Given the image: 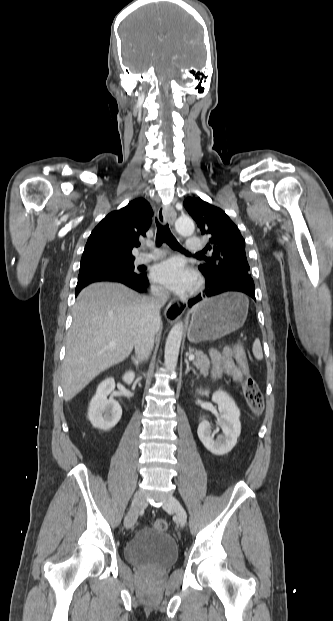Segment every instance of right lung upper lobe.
Segmentation results:
<instances>
[{"instance_id": "obj_1", "label": "right lung upper lobe", "mask_w": 333, "mask_h": 621, "mask_svg": "<svg viewBox=\"0 0 333 621\" xmlns=\"http://www.w3.org/2000/svg\"><path fill=\"white\" fill-rule=\"evenodd\" d=\"M153 210L148 201L137 198L127 206L110 212L92 231L83 258L134 257L133 247L140 245L152 221Z\"/></svg>"}]
</instances>
